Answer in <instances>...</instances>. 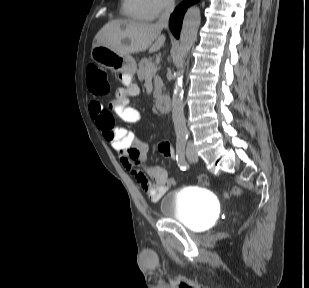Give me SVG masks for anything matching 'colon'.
Wrapping results in <instances>:
<instances>
[{
	"label": "colon",
	"instance_id": "1",
	"mask_svg": "<svg viewBox=\"0 0 309 288\" xmlns=\"http://www.w3.org/2000/svg\"><path fill=\"white\" fill-rule=\"evenodd\" d=\"M87 84L89 90L98 96H104L108 94L110 90V83L107 74L96 66H90L88 69ZM172 185L175 181L171 179L169 181ZM197 182L202 186L208 185V177L206 175H201L197 178ZM240 194V189L237 186H233L228 189L225 193L226 197L238 196Z\"/></svg>",
	"mask_w": 309,
	"mask_h": 288
}]
</instances>
